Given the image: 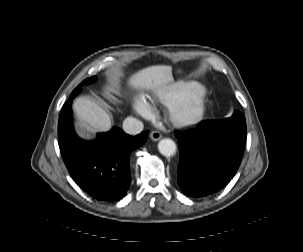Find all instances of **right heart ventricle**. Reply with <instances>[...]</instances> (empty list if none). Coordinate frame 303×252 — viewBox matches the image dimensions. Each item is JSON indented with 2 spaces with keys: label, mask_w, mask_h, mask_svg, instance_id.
I'll return each instance as SVG.
<instances>
[{
  "label": "right heart ventricle",
  "mask_w": 303,
  "mask_h": 252,
  "mask_svg": "<svg viewBox=\"0 0 303 252\" xmlns=\"http://www.w3.org/2000/svg\"><path fill=\"white\" fill-rule=\"evenodd\" d=\"M184 99L185 97L179 89L168 90L163 96V100L168 104H177L182 102Z\"/></svg>",
  "instance_id": "1"
}]
</instances>
